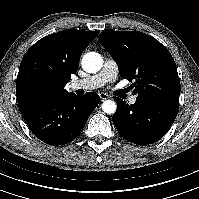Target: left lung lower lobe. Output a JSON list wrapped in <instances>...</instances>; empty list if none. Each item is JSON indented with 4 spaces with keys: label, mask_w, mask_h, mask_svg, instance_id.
Masks as SVG:
<instances>
[{
    "label": "left lung lower lobe",
    "mask_w": 199,
    "mask_h": 199,
    "mask_svg": "<svg viewBox=\"0 0 199 199\" xmlns=\"http://www.w3.org/2000/svg\"><path fill=\"white\" fill-rule=\"evenodd\" d=\"M117 110L113 123L119 134L137 145H149L158 141L173 124L179 107L145 98H136L134 104H126L114 97Z\"/></svg>",
    "instance_id": "obj_1"
}]
</instances>
